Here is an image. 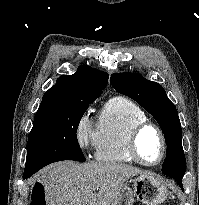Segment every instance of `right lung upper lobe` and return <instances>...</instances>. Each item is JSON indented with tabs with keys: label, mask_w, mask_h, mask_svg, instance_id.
Listing matches in <instances>:
<instances>
[{
	"label": "right lung upper lobe",
	"mask_w": 199,
	"mask_h": 205,
	"mask_svg": "<svg viewBox=\"0 0 199 205\" xmlns=\"http://www.w3.org/2000/svg\"><path fill=\"white\" fill-rule=\"evenodd\" d=\"M108 83V74L90 66L78 67L73 75H61L43 95L39 111L86 99L98 98Z\"/></svg>",
	"instance_id": "1"
}]
</instances>
